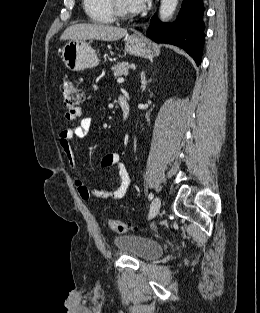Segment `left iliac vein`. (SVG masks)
Instances as JSON below:
<instances>
[{
    "label": "left iliac vein",
    "mask_w": 260,
    "mask_h": 313,
    "mask_svg": "<svg viewBox=\"0 0 260 313\" xmlns=\"http://www.w3.org/2000/svg\"><path fill=\"white\" fill-rule=\"evenodd\" d=\"M160 207H161V200L159 197H155L150 205L149 216H148L149 219L154 218L159 213Z\"/></svg>",
    "instance_id": "left-iliac-vein-1"
}]
</instances>
